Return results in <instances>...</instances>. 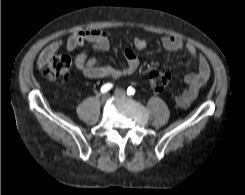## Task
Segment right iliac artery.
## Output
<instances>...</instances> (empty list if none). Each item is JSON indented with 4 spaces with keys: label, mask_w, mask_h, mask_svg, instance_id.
<instances>
[{
    "label": "right iliac artery",
    "mask_w": 245,
    "mask_h": 195,
    "mask_svg": "<svg viewBox=\"0 0 245 195\" xmlns=\"http://www.w3.org/2000/svg\"><path fill=\"white\" fill-rule=\"evenodd\" d=\"M112 87H113V85H112L111 83L104 84V85L101 87V93H106V92H108Z\"/></svg>",
    "instance_id": "82829eb1"
}]
</instances>
